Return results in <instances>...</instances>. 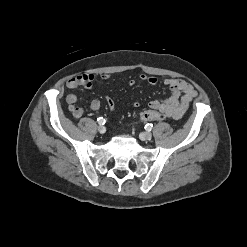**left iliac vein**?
I'll return each mask as SVG.
<instances>
[{
    "label": "left iliac vein",
    "mask_w": 247,
    "mask_h": 247,
    "mask_svg": "<svg viewBox=\"0 0 247 247\" xmlns=\"http://www.w3.org/2000/svg\"><path fill=\"white\" fill-rule=\"evenodd\" d=\"M152 138V134L150 132H142L140 133V139L145 141V140H150Z\"/></svg>",
    "instance_id": "1"
}]
</instances>
